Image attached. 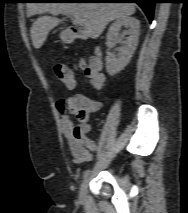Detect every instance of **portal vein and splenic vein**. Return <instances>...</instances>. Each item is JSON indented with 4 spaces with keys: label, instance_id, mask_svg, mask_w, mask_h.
I'll list each match as a JSON object with an SVG mask.
<instances>
[{
    "label": "portal vein and splenic vein",
    "instance_id": "1",
    "mask_svg": "<svg viewBox=\"0 0 188 213\" xmlns=\"http://www.w3.org/2000/svg\"><path fill=\"white\" fill-rule=\"evenodd\" d=\"M73 22L77 25H80V26L84 25V20L81 17H75L73 19Z\"/></svg>",
    "mask_w": 188,
    "mask_h": 213
}]
</instances>
